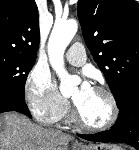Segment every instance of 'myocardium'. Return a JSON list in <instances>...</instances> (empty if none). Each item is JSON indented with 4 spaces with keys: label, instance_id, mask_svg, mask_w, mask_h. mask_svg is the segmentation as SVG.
<instances>
[{
    "label": "myocardium",
    "instance_id": "1",
    "mask_svg": "<svg viewBox=\"0 0 139 150\" xmlns=\"http://www.w3.org/2000/svg\"><path fill=\"white\" fill-rule=\"evenodd\" d=\"M92 89L103 93L107 97V99L109 101V105H110V110H111L109 119L102 125H97V126L90 125L82 119V117L79 113L78 107L76 106L75 102L73 101V103H72L73 121L77 126H79L80 128H82L84 130H87V131L102 132V131L109 130L110 128H112L115 125V123L117 122L118 117H119L118 101H117L114 93L104 86L96 85V86L92 87Z\"/></svg>",
    "mask_w": 139,
    "mask_h": 150
}]
</instances>
